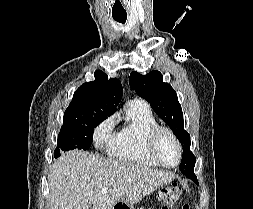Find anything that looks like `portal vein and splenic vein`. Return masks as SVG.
<instances>
[{"mask_svg": "<svg viewBox=\"0 0 253 209\" xmlns=\"http://www.w3.org/2000/svg\"><path fill=\"white\" fill-rule=\"evenodd\" d=\"M101 192L106 193L107 189H102Z\"/></svg>", "mask_w": 253, "mask_h": 209, "instance_id": "18ae733b", "label": "portal vein and splenic vein"}]
</instances>
